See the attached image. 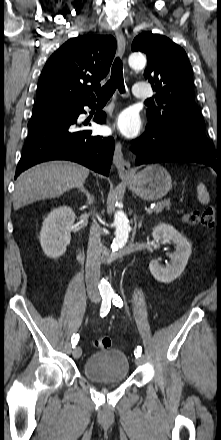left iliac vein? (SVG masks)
Masks as SVG:
<instances>
[{"instance_id":"4c4485c4","label":"left iliac vein","mask_w":221,"mask_h":440,"mask_svg":"<svg viewBox=\"0 0 221 440\" xmlns=\"http://www.w3.org/2000/svg\"><path fill=\"white\" fill-rule=\"evenodd\" d=\"M142 362H143V360H142L141 357H137V358L135 359V364H136V365H141Z\"/></svg>"}]
</instances>
